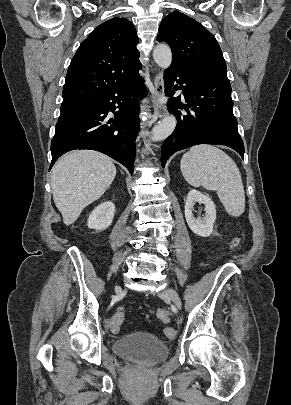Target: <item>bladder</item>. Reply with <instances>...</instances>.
Returning <instances> with one entry per match:
<instances>
[{"label":"bladder","instance_id":"1","mask_svg":"<svg viewBox=\"0 0 291 405\" xmlns=\"http://www.w3.org/2000/svg\"><path fill=\"white\" fill-rule=\"evenodd\" d=\"M113 351L127 361L156 364L164 360L170 347L156 335L146 331H135L117 338Z\"/></svg>","mask_w":291,"mask_h":405}]
</instances>
